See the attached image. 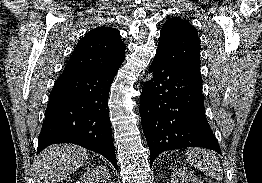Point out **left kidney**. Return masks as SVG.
<instances>
[{
    "instance_id": "1",
    "label": "left kidney",
    "mask_w": 262,
    "mask_h": 183,
    "mask_svg": "<svg viewBox=\"0 0 262 183\" xmlns=\"http://www.w3.org/2000/svg\"><path fill=\"white\" fill-rule=\"evenodd\" d=\"M173 183H203L193 172L186 168H176L172 175Z\"/></svg>"
}]
</instances>
